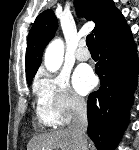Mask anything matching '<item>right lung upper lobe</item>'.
<instances>
[{"label":"right lung upper lobe","mask_w":139,"mask_h":150,"mask_svg":"<svg viewBox=\"0 0 139 150\" xmlns=\"http://www.w3.org/2000/svg\"><path fill=\"white\" fill-rule=\"evenodd\" d=\"M75 7L80 16L85 17L88 21L95 22L93 32L96 39L119 12L112 0H75ZM57 26V18L51 9L42 12L36 18L27 40V82H31L36 74L41 64L43 49L53 38Z\"/></svg>","instance_id":"obj_1"}]
</instances>
